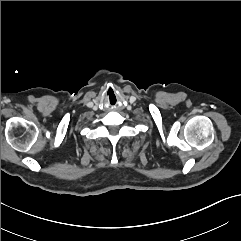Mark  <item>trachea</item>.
I'll return each instance as SVG.
<instances>
[{
  "label": "trachea",
  "mask_w": 241,
  "mask_h": 241,
  "mask_svg": "<svg viewBox=\"0 0 241 241\" xmlns=\"http://www.w3.org/2000/svg\"><path fill=\"white\" fill-rule=\"evenodd\" d=\"M108 103L111 105V106H114L116 103H117V95L114 93V92H111L109 95H108Z\"/></svg>",
  "instance_id": "1"
}]
</instances>
